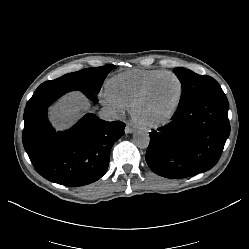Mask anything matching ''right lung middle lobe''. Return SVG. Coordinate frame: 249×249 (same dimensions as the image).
<instances>
[{"label": "right lung middle lobe", "mask_w": 249, "mask_h": 249, "mask_svg": "<svg viewBox=\"0 0 249 249\" xmlns=\"http://www.w3.org/2000/svg\"><path fill=\"white\" fill-rule=\"evenodd\" d=\"M116 66L107 64L101 67L85 68L77 72L65 74L55 80L46 81L39 85L35 92L46 89L69 88L80 90L95 100L94 96L101 89L103 80Z\"/></svg>", "instance_id": "obj_1"}]
</instances>
